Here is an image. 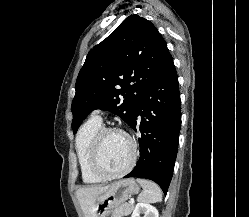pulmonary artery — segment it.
Instances as JSON below:
<instances>
[{
    "label": "pulmonary artery",
    "instance_id": "obj_1",
    "mask_svg": "<svg viewBox=\"0 0 249 217\" xmlns=\"http://www.w3.org/2000/svg\"><path fill=\"white\" fill-rule=\"evenodd\" d=\"M92 118L101 121L102 118H101L100 111H98V110L94 111L93 114H92Z\"/></svg>",
    "mask_w": 249,
    "mask_h": 217
}]
</instances>
